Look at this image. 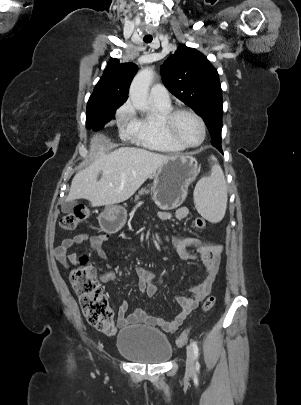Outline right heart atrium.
Returning <instances> with one entry per match:
<instances>
[{
	"label": "right heart atrium",
	"instance_id": "obj_1",
	"mask_svg": "<svg viewBox=\"0 0 301 405\" xmlns=\"http://www.w3.org/2000/svg\"><path fill=\"white\" fill-rule=\"evenodd\" d=\"M136 118L135 110L130 101H126L116 112L118 126L127 131Z\"/></svg>",
	"mask_w": 301,
	"mask_h": 405
}]
</instances>
